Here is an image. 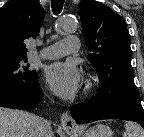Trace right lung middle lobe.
<instances>
[{
	"mask_svg": "<svg viewBox=\"0 0 144 137\" xmlns=\"http://www.w3.org/2000/svg\"><path fill=\"white\" fill-rule=\"evenodd\" d=\"M23 62H27V57L0 65V89L13 88L28 93L36 90L39 84L37 72L29 70Z\"/></svg>",
	"mask_w": 144,
	"mask_h": 137,
	"instance_id": "1",
	"label": "right lung middle lobe"
}]
</instances>
